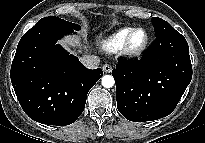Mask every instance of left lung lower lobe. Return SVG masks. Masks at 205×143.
I'll return each mask as SVG.
<instances>
[{"label":"left lung lower lobe","instance_id":"0a47b994","mask_svg":"<svg viewBox=\"0 0 205 143\" xmlns=\"http://www.w3.org/2000/svg\"><path fill=\"white\" fill-rule=\"evenodd\" d=\"M112 75L118 111L135 122L169 115L192 79L186 39L178 32L158 36L140 60L119 61Z\"/></svg>","mask_w":205,"mask_h":143}]
</instances>
